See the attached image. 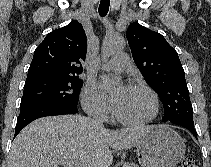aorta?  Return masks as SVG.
<instances>
[{"mask_svg": "<svg viewBox=\"0 0 211 167\" xmlns=\"http://www.w3.org/2000/svg\"><path fill=\"white\" fill-rule=\"evenodd\" d=\"M126 46V41L121 36L109 35L105 38L102 45V53L104 57H109L117 52L122 51ZM104 79L111 83L117 84L121 81L119 77L110 75L104 76Z\"/></svg>", "mask_w": 211, "mask_h": 167, "instance_id": "762f6f07", "label": "aorta"}]
</instances>
